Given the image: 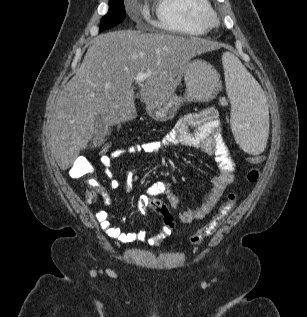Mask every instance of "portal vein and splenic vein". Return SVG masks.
<instances>
[{"mask_svg":"<svg viewBox=\"0 0 307 317\" xmlns=\"http://www.w3.org/2000/svg\"><path fill=\"white\" fill-rule=\"evenodd\" d=\"M150 75L151 73H142V72L138 73L135 77V83L137 84L143 83L147 79V77H149Z\"/></svg>","mask_w":307,"mask_h":317,"instance_id":"1","label":"portal vein and splenic vein"}]
</instances>
